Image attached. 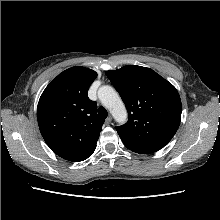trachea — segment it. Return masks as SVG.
<instances>
[{
	"mask_svg": "<svg viewBox=\"0 0 220 220\" xmlns=\"http://www.w3.org/2000/svg\"><path fill=\"white\" fill-rule=\"evenodd\" d=\"M98 114L103 119L107 118V116H108V112L104 107H99L98 108Z\"/></svg>",
	"mask_w": 220,
	"mask_h": 220,
	"instance_id": "obj_1",
	"label": "trachea"
}]
</instances>
